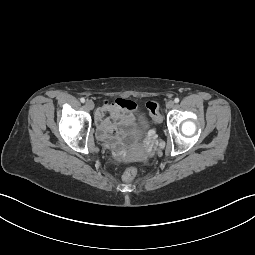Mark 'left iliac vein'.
Wrapping results in <instances>:
<instances>
[{
	"instance_id": "4c4485c4",
	"label": "left iliac vein",
	"mask_w": 255,
	"mask_h": 255,
	"mask_svg": "<svg viewBox=\"0 0 255 255\" xmlns=\"http://www.w3.org/2000/svg\"><path fill=\"white\" fill-rule=\"evenodd\" d=\"M166 107L168 109H171L174 107V101L173 100H169L167 103H166Z\"/></svg>"
}]
</instances>
